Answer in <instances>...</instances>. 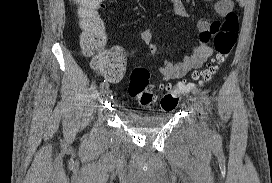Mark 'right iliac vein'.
<instances>
[{"label":"right iliac vein","mask_w":272,"mask_h":183,"mask_svg":"<svg viewBox=\"0 0 272 183\" xmlns=\"http://www.w3.org/2000/svg\"><path fill=\"white\" fill-rule=\"evenodd\" d=\"M101 93H102L103 95H108V94L110 93V91H109L108 88H105V89H103V90L101 91Z\"/></svg>","instance_id":"obj_1"}]
</instances>
